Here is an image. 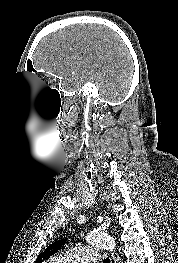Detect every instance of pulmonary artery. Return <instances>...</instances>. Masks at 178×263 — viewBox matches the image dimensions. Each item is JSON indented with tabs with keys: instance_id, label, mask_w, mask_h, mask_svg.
<instances>
[{
	"instance_id": "obj_1",
	"label": "pulmonary artery",
	"mask_w": 178,
	"mask_h": 263,
	"mask_svg": "<svg viewBox=\"0 0 178 263\" xmlns=\"http://www.w3.org/2000/svg\"><path fill=\"white\" fill-rule=\"evenodd\" d=\"M98 259V249L91 246L67 250L56 258L59 263H96Z\"/></svg>"
}]
</instances>
